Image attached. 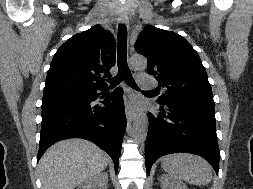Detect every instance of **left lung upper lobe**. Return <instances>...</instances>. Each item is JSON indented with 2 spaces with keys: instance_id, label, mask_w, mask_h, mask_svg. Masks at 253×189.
Segmentation results:
<instances>
[{
  "instance_id": "left-lung-upper-lobe-1",
  "label": "left lung upper lobe",
  "mask_w": 253,
  "mask_h": 189,
  "mask_svg": "<svg viewBox=\"0 0 253 189\" xmlns=\"http://www.w3.org/2000/svg\"><path fill=\"white\" fill-rule=\"evenodd\" d=\"M135 49L148 59V73L166 88L157 102H177L214 111L207 73L191 44L175 32L147 25Z\"/></svg>"
}]
</instances>
